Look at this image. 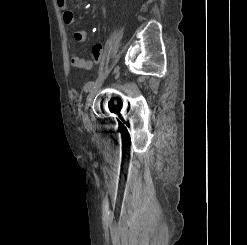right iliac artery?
I'll list each match as a JSON object with an SVG mask.
<instances>
[{"label":"right iliac artery","mask_w":247,"mask_h":245,"mask_svg":"<svg viewBox=\"0 0 247 245\" xmlns=\"http://www.w3.org/2000/svg\"><path fill=\"white\" fill-rule=\"evenodd\" d=\"M103 74L104 75H102L101 77H99L98 80H95V82L90 81V82L86 83L85 86H84V91L85 92H89L93 88V86L94 87H97L98 85H100V83L103 82L104 81V78L106 77L105 76L106 73L104 72Z\"/></svg>","instance_id":"1"}]
</instances>
